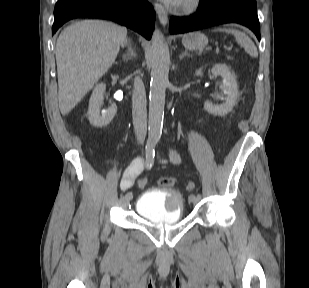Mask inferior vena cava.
Here are the masks:
<instances>
[{
	"label": "inferior vena cava",
	"instance_id": "602c4592",
	"mask_svg": "<svg viewBox=\"0 0 309 288\" xmlns=\"http://www.w3.org/2000/svg\"><path fill=\"white\" fill-rule=\"evenodd\" d=\"M132 116L135 135L139 143H143L147 133L146 92L139 77L134 80L132 94Z\"/></svg>",
	"mask_w": 309,
	"mask_h": 288
}]
</instances>
